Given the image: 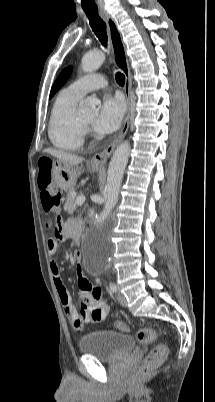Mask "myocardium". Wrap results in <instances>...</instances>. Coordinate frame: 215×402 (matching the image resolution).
Here are the masks:
<instances>
[{"mask_svg":"<svg viewBox=\"0 0 215 402\" xmlns=\"http://www.w3.org/2000/svg\"><path fill=\"white\" fill-rule=\"evenodd\" d=\"M79 123L81 125V127L86 130L88 128V124H85L80 118H79Z\"/></svg>","mask_w":215,"mask_h":402,"instance_id":"1","label":"myocardium"}]
</instances>
